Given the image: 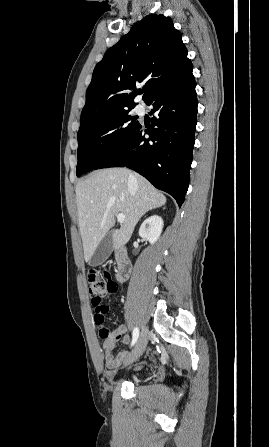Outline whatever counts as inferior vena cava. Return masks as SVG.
Instances as JSON below:
<instances>
[{
    "label": "inferior vena cava",
    "instance_id": "602c4592",
    "mask_svg": "<svg viewBox=\"0 0 269 447\" xmlns=\"http://www.w3.org/2000/svg\"><path fill=\"white\" fill-rule=\"evenodd\" d=\"M130 180H134V176H129Z\"/></svg>",
    "mask_w": 269,
    "mask_h": 447
}]
</instances>
